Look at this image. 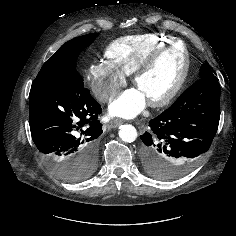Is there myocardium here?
<instances>
[{
    "instance_id": "f54148a6",
    "label": "myocardium",
    "mask_w": 236,
    "mask_h": 236,
    "mask_svg": "<svg viewBox=\"0 0 236 236\" xmlns=\"http://www.w3.org/2000/svg\"><path fill=\"white\" fill-rule=\"evenodd\" d=\"M181 45L183 51V68L180 76L174 85L167 91L164 95L158 98L149 99L148 103L152 107H162L168 104L175 96L180 92L184 86L190 70V56L185 43L181 40H173L155 51H153L145 60H143L132 73V82L134 85L137 84L141 76H143L147 71H149L152 66L157 62V60L172 47Z\"/></svg>"
}]
</instances>
